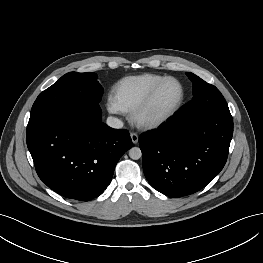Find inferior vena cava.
Segmentation results:
<instances>
[{
    "label": "inferior vena cava",
    "mask_w": 263,
    "mask_h": 263,
    "mask_svg": "<svg viewBox=\"0 0 263 263\" xmlns=\"http://www.w3.org/2000/svg\"><path fill=\"white\" fill-rule=\"evenodd\" d=\"M107 125L114 129H120L123 127V122L118 118L110 116L107 118Z\"/></svg>",
    "instance_id": "inferior-vena-cava-1"
}]
</instances>
